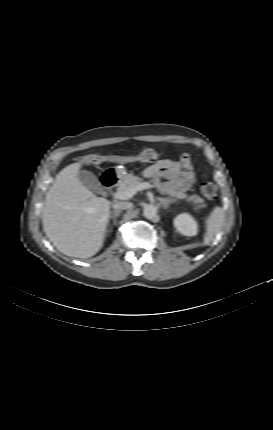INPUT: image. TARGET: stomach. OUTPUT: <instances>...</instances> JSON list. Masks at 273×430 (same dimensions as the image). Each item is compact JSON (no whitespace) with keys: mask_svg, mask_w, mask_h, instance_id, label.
<instances>
[{"mask_svg":"<svg viewBox=\"0 0 273 430\" xmlns=\"http://www.w3.org/2000/svg\"><path fill=\"white\" fill-rule=\"evenodd\" d=\"M124 169L123 168H119V167H117L116 168V171L119 173V174H122V171H123Z\"/></svg>","mask_w":273,"mask_h":430,"instance_id":"obj_1","label":"stomach"}]
</instances>
